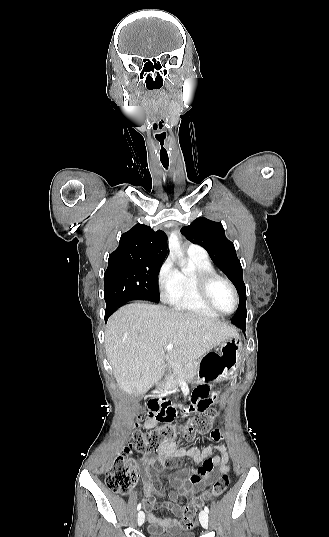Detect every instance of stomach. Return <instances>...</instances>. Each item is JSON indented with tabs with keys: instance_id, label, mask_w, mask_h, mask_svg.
<instances>
[{
	"instance_id": "1",
	"label": "stomach",
	"mask_w": 329,
	"mask_h": 537,
	"mask_svg": "<svg viewBox=\"0 0 329 537\" xmlns=\"http://www.w3.org/2000/svg\"><path fill=\"white\" fill-rule=\"evenodd\" d=\"M242 360V342L239 335L228 337L220 344L218 352L206 353L198 366L195 377L189 381H218L232 378Z\"/></svg>"
}]
</instances>
